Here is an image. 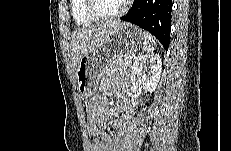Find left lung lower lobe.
Instances as JSON below:
<instances>
[{"mask_svg": "<svg viewBox=\"0 0 231 151\" xmlns=\"http://www.w3.org/2000/svg\"><path fill=\"white\" fill-rule=\"evenodd\" d=\"M171 12L172 0H134L129 13L121 19L149 31L168 50Z\"/></svg>", "mask_w": 231, "mask_h": 151, "instance_id": "left-lung-lower-lobe-1", "label": "left lung lower lobe"}]
</instances>
